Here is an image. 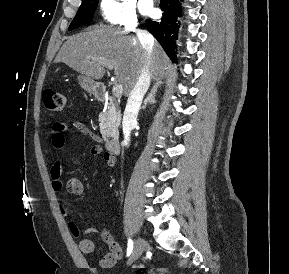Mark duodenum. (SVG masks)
I'll return each mask as SVG.
<instances>
[{"label":"duodenum","instance_id":"obj_1","mask_svg":"<svg viewBox=\"0 0 289 274\" xmlns=\"http://www.w3.org/2000/svg\"><path fill=\"white\" fill-rule=\"evenodd\" d=\"M96 96L100 100H105L107 98V90L104 85H98L95 90ZM107 150L112 154H118L120 152V143L117 138H110L106 142Z\"/></svg>","mask_w":289,"mask_h":274}]
</instances>
